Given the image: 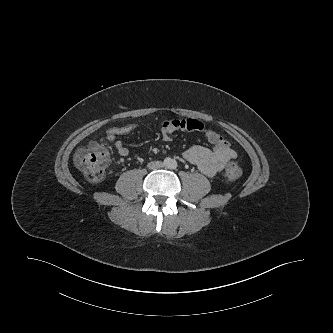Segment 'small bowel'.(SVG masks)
<instances>
[{"label":"small bowel","instance_id":"obj_1","mask_svg":"<svg viewBox=\"0 0 333 333\" xmlns=\"http://www.w3.org/2000/svg\"><path fill=\"white\" fill-rule=\"evenodd\" d=\"M136 129L137 125L129 124L111 127L106 131V138L114 142L115 149L121 157L128 156L129 149L122 141L117 140V138L119 136L128 135ZM178 130L201 132L213 145L212 149L199 145L192 146L183 154L185 160L196 165L198 169L208 177L217 175L236 157L235 151L230 147L227 140L218 132L208 128L205 124L196 119L175 118L165 120L160 128L165 141H170L172 134Z\"/></svg>","mask_w":333,"mask_h":333}]
</instances>
